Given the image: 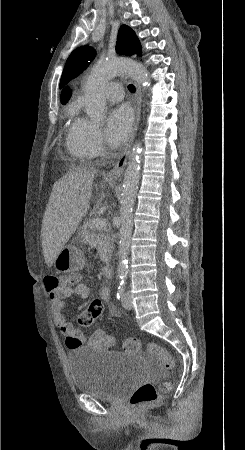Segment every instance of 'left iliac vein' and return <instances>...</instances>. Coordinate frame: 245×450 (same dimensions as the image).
I'll return each instance as SVG.
<instances>
[{
  "label": "left iliac vein",
  "instance_id": "left-iliac-vein-1",
  "mask_svg": "<svg viewBox=\"0 0 245 450\" xmlns=\"http://www.w3.org/2000/svg\"><path fill=\"white\" fill-rule=\"evenodd\" d=\"M122 306L127 309L130 310L133 308L132 305V301H131V297H130V293L129 292H125L122 296Z\"/></svg>",
  "mask_w": 245,
  "mask_h": 450
}]
</instances>
